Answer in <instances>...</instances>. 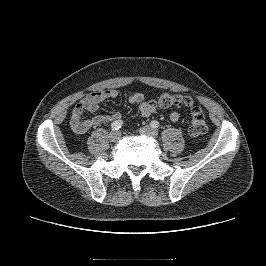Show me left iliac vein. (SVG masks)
<instances>
[{
	"mask_svg": "<svg viewBox=\"0 0 266 266\" xmlns=\"http://www.w3.org/2000/svg\"><path fill=\"white\" fill-rule=\"evenodd\" d=\"M139 132L143 135L149 136V137H157L158 136V131L156 129H153L152 127L149 126H144L139 129Z\"/></svg>",
	"mask_w": 266,
	"mask_h": 266,
	"instance_id": "left-iliac-vein-1",
	"label": "left iliac vein"
}]
</instances>
